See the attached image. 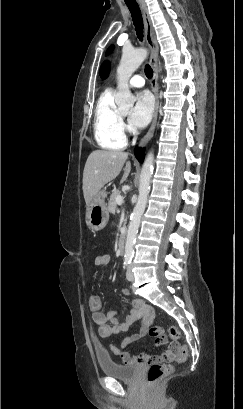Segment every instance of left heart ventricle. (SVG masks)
Returning a JSON list of instances; mask_svg holds the SVG:
<instances>
[{
	"instance_id": "1",
	"label": "left heart ventricle",
	"mask_w": 243,
	"mask_h": 409,
	"mask_svg": "<svg viewBox=\"0 0 243 409\" xmlns=\"http://www.w3.org/2000/svg\"><path fill=\"white\" fill-rule=\"evenodd\" d=\"M122 115H126L128 113V109L120 111Z\"/></svg>"
}]
</instances>
